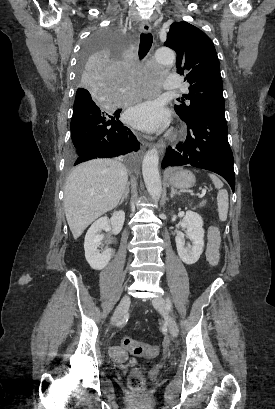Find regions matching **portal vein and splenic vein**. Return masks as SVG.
<instances>
[{
    "label": "portal vein and splenic vein",
    "mask_w": 275,
    "mask_h": 409,
    "mask_svg": "<svg viewBox=\"0 0 275 409\" xmlns=\"http://www.w3.org/2000/svg\"><path fill=\"white\" fill-rule=\"evenodd\" d=\"M205 192H206V188H202V194H200V196H204Z\"/></svg>",
    "instance_id": "portal-vein-and-splenic-vein-1"
}]
</instances>
